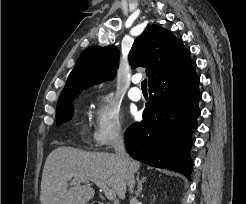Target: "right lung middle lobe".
Returning a JSON list of instances; mask_svg holds the SVG:
<instances>
[{
	"label": "right lung middle lobe",
	"instance_id": "right-lung-middle-lobe-1",
	"mask_svg": "<svg viewBox=\"0 0 246 204\" xmlns=\"http://www.w3.org/2000/svg\"><path fill=\"white\" fill-rule=\"evenodd\" d=\"M77 96L66 97L60 99L56 108V124L61 125L69 121L73 116V106L71 102Z\"/></svg>",
	"mask_w": 246,
	"mask_h": 204
}]
</instances>
